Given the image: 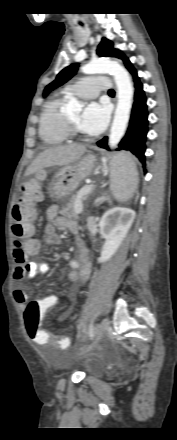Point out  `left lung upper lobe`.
I'll list each match as a JSON object with an SVG mask.
<instances>
[{
  "instance_id": "left-lung-upper-lobe-1",
  "label": "left lung upper lobe",
  "mask_w": 177,
  "mask_h": 440,
  "mask_svg": "<svg viewBox=\"0 0 177 440\" xmlns=\"http://www.w3.org/2000/svg\"><path fill=\"white\" fill-rule=\"evenodd\" d=\"M97 54L99 56H108V57H115L121 59L124 62L127 69L133 67L129 59L125 57L120 50L115 49L113 47V43L110 40L106 39L105 37L102 38L100 44L98 45ZM78 66L79 65L77 63H74L64 68L57 75L56 79L44 89L43 96L46 97L50 91L61 86L62 84L67 82L71 77H73L76 74Z\"/></svg>"
}]
</instances>
